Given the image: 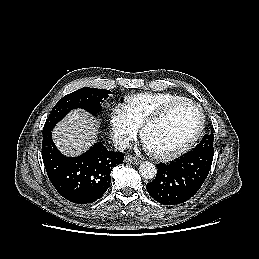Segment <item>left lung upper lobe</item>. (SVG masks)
<instances>
[{
	"label": "left lung upper lobe",
	"mask_w": 259,
	"mask_h": 259,
	"mask_svg": "<svg viewBox=\"0 0 259 259\" xmlns=\"http://www.w3.org/2000/svg\"><path fill=\"white\" fill-rule=\"evenodd\" d=\"M213 141L214 135L212 133L210 135L207 134L193 150L214 153Z\"/></svg>",
	"instance_id": "left-lung-upper-lobe-1"
}]
</instances>
